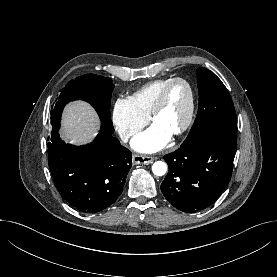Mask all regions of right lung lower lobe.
Returning <instances> with one entry per match:
<instances>
[{
  "label": "right lung lower lobe",
  "mask_w": 277,
  "mask_h": 277,
  "mask_svg": "<svg viewBox=\"0 0 277 277\" xmlns=\"http://www.w3.org/2000/svg\"><path fill=\"white\" fill-rule=\"evenodd\" d=\"M60 112L51 116L48 161L56 188L76 209L97 213L113 204L132 166V153L113 137L112 124L102 122L95 140L83 146L66 144L59 136Z\"/></svg>",
  "instance_id": "obj_1"
}]
</instances>
